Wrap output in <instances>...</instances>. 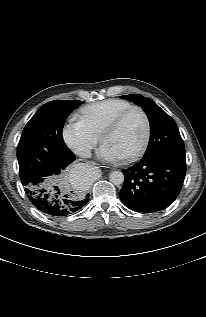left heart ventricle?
<instances>
[{
	"label": "left heart ventricle",
	"mask_w": 206,
	"mask_h": 317,
	"mask_svg": "<svg viewBox=\"0 0 206 317\" xmlns=\"http://www.w3.org/2000/svg\"><path fill=\"white\" fill-rule=\"evenodd\" d=\"M144 131V119L138 111H134L126 117L117 130L105 138L104 144L109 145L120 157H123L140 145Z\"/></svg>",
	"instance_id": "b2bd125f"
}]
</instances>
